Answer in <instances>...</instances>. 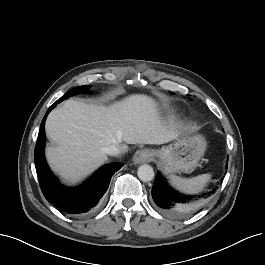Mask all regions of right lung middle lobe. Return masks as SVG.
<instances>
[{
    "instance_id": "right-lung-middle-lobe-1",
    "label": "right lung middle lobe",
    "mask_w": 265,
    "mask_h": 265,
    "mask_svg": "<svg viewBox=\"0 0 265 265\" xmlns=\"http://www.w3.org/2000/svg\"><path fill=\"white\" fill-rule=\"evenodd\" d=\"M90 92L89 90V86L88 85H84V86H79V87H75L73 89H71L70 91H68L66 94H64L60 99H58L56 102L59 103L73 95H77V94H81V93H88Z\"/></svg>"
}]
</instances>
